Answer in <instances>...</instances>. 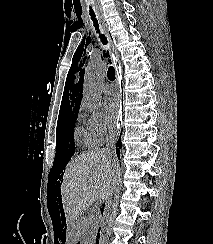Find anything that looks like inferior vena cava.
<instances>
[{
	"label": "inferior vena cava",
	"instance_id": "inferior-vena-cava-1",
	"mask_svg": "<svg viewBox=\"0 0 213 244\" xmlns=\"http://www.w3.org/2000/svg\"><path fill=\"white\" fill-rule=\"evenodd\" d=\"M108 151V150H107ZM113 173H114V175L116 176L117 175V173H118V170L117 169H114L113 170ZM113 180H112V189L114 188V186L116 187L117 186V180H114L115 178L113 177L112 178ZM108 202H110L111 203V195L109 196V198H108Z\"/></svg>",
	"mask_w": 213,
	"mask_h": 244
}]
</instances>
